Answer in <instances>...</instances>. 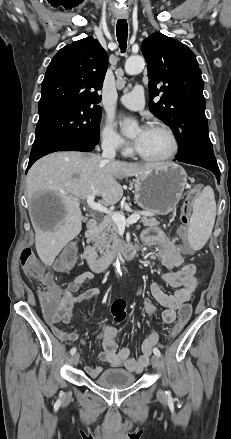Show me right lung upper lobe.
I'll return each instance as SVG.
<instances>
[{"label":"right lung upper lobe","mask_w":231,"mask_h":439,"mask_svg":"<svg viewBox=\"0 0 231 439\" xmlns=\"http://www.w3.org/2000/svg\"><path fill=\"white\" fill-rule=\"evenodd\" d=\"M107 66V53L93 37L60 49L50 62L42 82L39 117L62 109L92 107L99 103L97 90L102 88Z\"/></svg>","instance_id":"right-lung-upper-lobe-1"}]
</instances>
